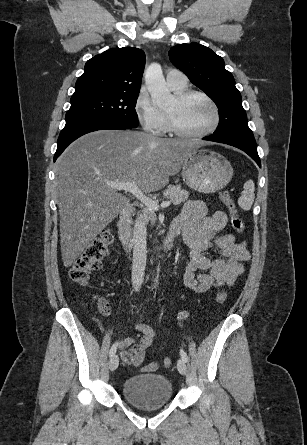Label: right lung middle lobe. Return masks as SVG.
<instances>
[{
    "label": "right lung middle lobe",
    "mask_w": 307,
    "mask_h": 445,
    "mask_svg": "<svg viewBox=\"0 0 307 445\" xmlns=\"http://www.w3.org/2000/svg\"><path fill=\"white\" fill-rule=\"evenodd\" d=\"M138 94H90L71 97L66 123L83 119H110L138 126L135 110Z\"/></svg>",
    "instance_id": "obj_1"
}]
</instances>
